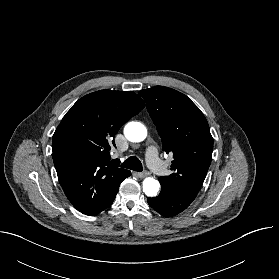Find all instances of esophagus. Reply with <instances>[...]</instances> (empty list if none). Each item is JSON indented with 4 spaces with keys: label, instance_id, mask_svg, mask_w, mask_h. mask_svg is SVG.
<instances>
[{
    "label": "esophagus",
    "instance_id": "esophagus-1",
    "mask_svg": "<svg viewBox=\"0 0 279 279\" xmlns=\"http://www.w3.org/2000/svg\"><path fill=\"white\" fill-rule=\"evenodd\" d=\"M150 175V172L149 171H143L141 173H138V176L140 178H145V177H148Z\"/></svg>",
    "mask_w": 279,
    "mask_h": 279
}]
</instances>
